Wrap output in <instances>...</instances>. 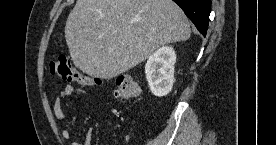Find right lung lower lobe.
<instances>
[{
    "label": "right lung lower lobe",
    "instance_id": "right-lung-lower-lobe-1",
    "mask_svg": "<svg viewBox=\"0 0 276 145\" xmlns=\"http://www.w3.org/2000/svg\"><path fill=\"white\" fill-rule=\"evenodd\" d=\"M204 36L207 33L211 0H173Z\"/></svg>",
    "mask_w": 276,
    "mask_h": 145
}]
</instances>
